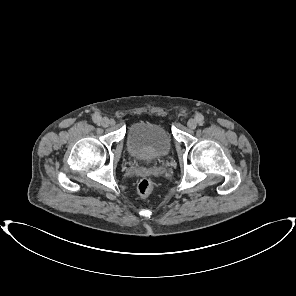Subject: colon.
Segmentation results:
<instances>
[{
    "label": "colon",
    "instance_id": "1",
    "mask_svg": "<svg viewBox=\"0 0 296 296\" xmlns=\"http://www.w3.org/2000/svg\"><path fill=\"white\" fill-rule=\"evenodd\" d=\"M154 185L150 179H142L138 184V192L140 195L147 197L153 192Z\"/></svg>",
    "mask_w": 296,
    "mask_h": 296
}]
</instances>
